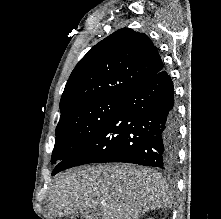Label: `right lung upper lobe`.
Masks as SVG:
<instances>
[{"mask_svg":"<svg viewBox=\"0 0 221 219\" xmlns=\"http://www.w3.org/2000/svg\"><path fill=\"white\" fill-rule=\"evenodd\" d=\"M162 69L158 50L146 34L117 30L76 65L62 94L60 112L91 100L123 98Z\"/></svg>","mask_w":221,"mask_h":219,"instance_id":"1","label":"right lung upper lobe"}]
</instances>
